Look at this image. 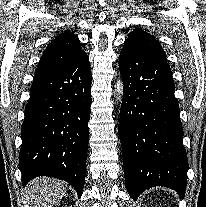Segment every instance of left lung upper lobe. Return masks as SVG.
Wrapping results in <instances>:
<instances>
[{"mask_svg": "<svg viewBox=\"0 0 206 207\" xmlns=\"http://www.w3.org/2000/svg\"><path fill=\"white\" fill-rule=\"evenodd\" d=\"M124 47L136 49L138 52L165 61L166 54L159 42L141 28H135L124 42Z\"/></svg>", "mask_w": 206, "mask_h": 207, "instance_id": "left-lung-upper-lobe-1", "label": "left lung upper lobe"}]
</instances>
